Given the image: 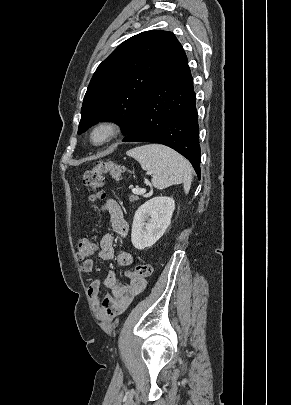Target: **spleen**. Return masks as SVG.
<instances>
[{"label": "spleen", "instance_id": "obj_1", "mask_svg": "<svg viewBox=\"0 0 291 405\" xmlns=\"http://www.w3.org/2000/svg\"><path fill=\"white\" fill-rule=\"evenodd\" d=\"M127 155L135 158L144 170L153 174L152 184L157 189L183 184L184 192L188 194L192 182L191 166L171 148L149 144L133 148Z\"/></svg>", "mask_w": 291, "mask_h": 405}]
</instances>
